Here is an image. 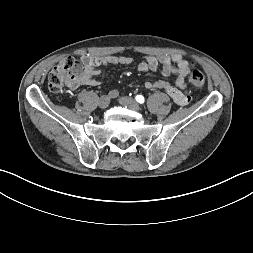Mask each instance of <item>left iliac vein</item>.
<instances>
[{
    "instance_id": "left-iliac-vein-1",
    "label": "left iliac vein",
    "mask_w": 253,
    "mask_h": 253,
    "mask_svg": "<svg viewBox=\"0 0 253 253\" xmlns=\"http://www.w3.org/2000/svg\"><path fill=\"white\" fill-rule=\"evenodd\" d=\"M121 105L128 107L134 111H141V106L132 98L129 97H121L119 99Z\"/></svg>"
}]
</instances>
